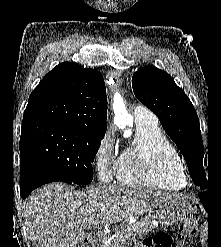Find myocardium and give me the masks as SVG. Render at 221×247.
Returning <instances> with one entry per match:
<instances>
[{"label":"myocardium","mask_w":221,"mask_h":247,"mask_svg":"<svg viewBox=\"0 0 221 247\" xmlns=\"http://www.w3.org/2000/svg\"><path fill=\"white\" fill-rule=\"evenodd\" d=\"M173 173H174L175 175H178V176L182 177V178H185V175H184V173H183V169H179V170L174 169V170H173Z\"/></svg>","instance_id":"f54148a6"}]
</instances>
